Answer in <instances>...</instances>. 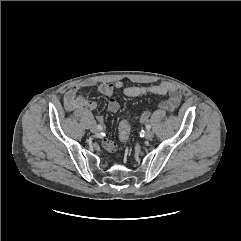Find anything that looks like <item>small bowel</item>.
I'll return each mask as SVG.
<instances>
[{
	"instance_id": "small-bowel-1",
	"label": "small bowel",
	"mask_w": 241,
	"mask_h": 241,
	"mask_svg": "<svg viewBox=\"0 0 241 241\" xmlns=\"http://www.w3.org/2000/svg\"><path fill=\"white\" fill-rule=\"evenodd\" d=\"M90 87H96L97 91L104 96L109 97L107 109L111 113H116L119 108V102L113 97L116 90L122 91L125 96L139 97L146 94L156 95H168V99L160 103V108L173 112L181 101V92L173 84L168 82H162L151 86H125L122 81H115L113 83H93L82 82L75 86L70 87L64 95L63 101L67 111L72 112L82 108L95 109L97 102L88 100L84 94ZM149 117L148 112H144L141 115L140 121L145 122ZM103 147L108 152H114L116 149V143L109 139H104Z\"/></svg>"
}]
</instances>
